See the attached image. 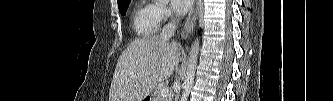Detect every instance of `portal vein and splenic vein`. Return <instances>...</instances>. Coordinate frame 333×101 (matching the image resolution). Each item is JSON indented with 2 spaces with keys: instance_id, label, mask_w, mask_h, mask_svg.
I'll use <instances>...</instances> for the list:
<instances>
[{
  "instance_id": "portal-vein-and-splenic-vein-1",
  "label": "portal vein and splenic vein",
  "mask_w": 333,
  "mask_h": 101,
  "mask_svg": "<svg viewBox=\"0 0 333 101\" xmlns=\"http://www.w3.org/2000/svg\"><path fill=\"white\" fill-rule=\"evenodd\" d=\"M160 94H161V96H163V97L168 96V95L170 94V90H169V88H168V87H162V88L160 89Z\"/></svg>"
}]
</instances>
